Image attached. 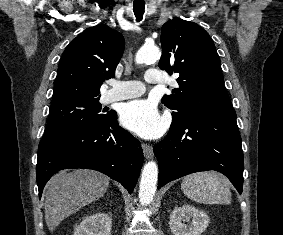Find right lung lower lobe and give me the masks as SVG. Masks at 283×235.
I'll return each mask as SVG.
<instances>
[{
	"mask_svg": "<svg viewBox=\"0 0 283 235\" xmlns=\"http://www.w3.org/2000/svg\"><path fill=\"white\" fill-rule=\"evenodd\" d=\"M116 112L103 121L42 139L36 166L39 197L51 176L66 168L100 171L134 190L143 164L139 140L118 125Z\"/></svg>",
	"mask_w": 283,
	"mask_h": 235,
	"instance_id": "right-lung-lower-lobe-1",
	"label": "right lung lower lobe"
}]
</instances>
